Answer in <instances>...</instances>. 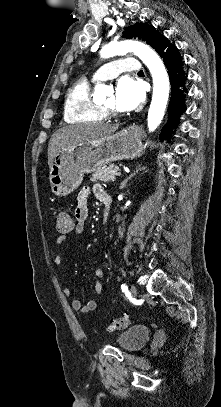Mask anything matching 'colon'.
<instances>
[{"instance_id": "1", "label": "colon", "mask_w": 221, "mask_h": 407, "mask_svg": "<svg viewBox=\"0 0 221 407\" xmlns=\"http://www.w3.org/2000/svg\"><path fill=\"white\" fill-rule=\"evenodd\" d=\"M73 228V221L67 212H59L56 218V230L60 234H67ZM128 316L122 315L111 321L108 331H115L125 328L128 325Z\"/></svg>"}]
</instances>
